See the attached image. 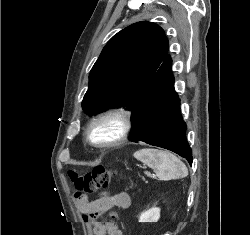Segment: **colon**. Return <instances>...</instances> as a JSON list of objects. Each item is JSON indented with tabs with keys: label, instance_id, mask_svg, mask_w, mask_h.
Instances as JSON below:
<instances>
[{
	"label": "colon",
	"instance_id": "obj_1",
	"mask_svg": "<svg viewBox=\"0 0 250 235\" xmlns=\"http://www.w3.org/2000/svg\"><path fill=\"white\" fill-rule=\"evenodd\" d=\"M112 174L111 169L104 166H98L84 174L70 171L69 177L78 192L96 193L105 190L109 186ZM95 219L103 220L102 217L99 216H96Z\"/></svg>",
	"mask_w": 250,
	"mask_h": 235
}]
</instances>
